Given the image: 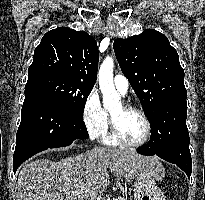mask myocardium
Masks as SVG:
<instances>
[{
  "label": "myocardium",
  "mask_w": 205,
  "mask_h": 200,
  "mask_svg": "<svg viewBox=\"0 0 205 200\" xmlns=\"http://www.w3.org/2000/svg\"><path fill=\"white\" fill-rule=\"evenodd\" d=\"M122 106L126 111L136 112L143 118L145 125H146V132L141 141L136 142V143L129 142L122 136L120 130L117 127L115 120L110 114V129H111L112 136L119 144L126 146V147L138 148V147L145 145L149 141L151 134H152V124H151L149 117L147 116V114L145 113L143 109L131 103L124 102L122 103Z\"/></svg>",
  "instance_id": "myocardium-1"
}]
</instances>
